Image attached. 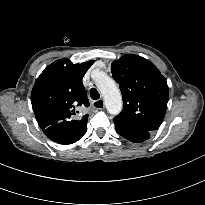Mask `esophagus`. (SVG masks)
Masks as SVG:
<instances>
[{"instance_id": "1", "label": "esophagus", "mask_w": 205, "mask_h": 205, "mask_svg": "<svg viewBox=\"0 0 205 205\" xmlns=\"http://www.w3.org/2000/svg\"><path fill=\"white\" fill-rule=\"evenodd\" d=\"M92 105L96 109H103L104 108V100L103 99L95 100V101H93Z\"/></svg>"}]
</instances>
